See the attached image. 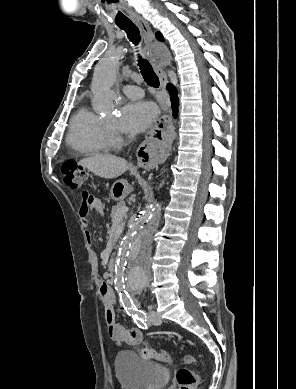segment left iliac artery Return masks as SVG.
Segmentation results:
<instances>
[{
    "mask_svg": "<svg viewBox=\"0 0 296 389\" xmlns=\"http://www.w3.org/2000/svg\"><path fill=\"white\" fill-rule=\"evenodd\" d=\"M120 297H121V293H120ZM128 298H130L129 294L124 290V293H123V299L125 301V310L126 312L132 316L134 322L139 326V328H142V329H147V324H146V321H147V315L146 313L141 310L139 308L138 305L134 304L133 301L130 299V301H128Z\"/></svg>",
    "mask_w": 296,
    "mask_h": 389,
    "instance_id": "obj_1",
    "label": "left iliac artery"
}]
</instances>
